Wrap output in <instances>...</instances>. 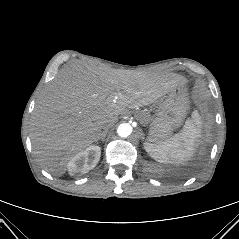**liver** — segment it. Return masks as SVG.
Segmentation results:
<instances>
[{
  "instance_id": "1",
  "label": "liver",
  "mask_w": 239,
  "mask_h": 239,
  "mask_svg": "<svg viewBox=\"0 0 239 239\" xmlns=\"http://www.w3.org/2000/svg\"><path fill=\"white\" fill-rule=\"evenodd\" d=\"M187 80L176 74L132 72L89 64L60 71L40 96L31 139L40 165L62 176L72 156L96 142L102 123L147 106Z\"/></svg>"
}]
</instances>
